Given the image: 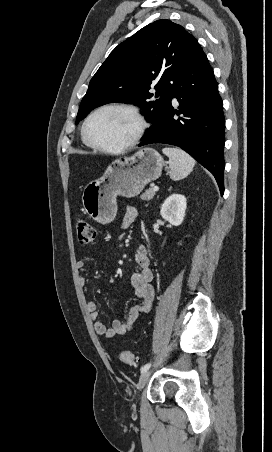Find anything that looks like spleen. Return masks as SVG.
I'll return each instance as SVG.
<instances>
[{"instance_id": "1", "label": "spleen", "mask_w": 272, "mask_h": 452, "mask_svg": "<svg viewBox=\"0 0 272 452\" xmlns=\"http://www.w3.org/2000/svg\"><path fill=\"white\" fill-rule=\"evenodd\" d=\"M163 154L169 158L170 178L174 181L187 177L195 166V160L184 150L174 147H165Z\"/></svg>"}]
</instances>
